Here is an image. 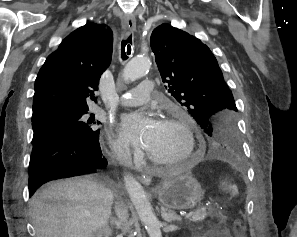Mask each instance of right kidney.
<instances>
[{
  "label": "right kidney",
  "mask_w": 297,
  "mask_h": 237,
  "mask_svg": "<svg viewBox=\"0 0 297 237\" xmlns=\"http://www.w3.org/2000/svg\"><path fill=\"white\" fill-rule=\"evenodd\" d=\"M111 233H112L111 229L104 228L103 232H101V234L97 235V237H103V236L104 237H109V236H111Z\"/></svg>",
  "instance_id": "obj_1"
}]
</instances>
